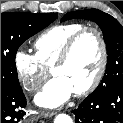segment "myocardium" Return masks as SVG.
I'll list each match as a JSON object with an SVG mask.
<instances>
[{
	"instance_id": "myocardium-1",
	"label": "myocardium",
	"mask_w": 123,
	"mask_h": 123,
	"mask_svg": "<svg viewBox=\"0 0 123 123\" xmlns=\"http://www.w3.org/2000/svg\"><path fill=\"white\" fill-rule=\"evenodd\" d=\"M88 33L95 34V36L98 39V42L100 45V62H99L97 71L95 75L93 76V78L91 79V81L84 88L74 91L75 95L77 96H85L89 94L90 92H92L99 85V83L101 82L104 76L107 62H108V51H107L106 40L103 36L102 31L93 26H85L81 30L73 34L69 38V40L66 42L60 57L58 58V60L55 62V64L52 67V73L54 74V71L57 68L65 65L69 61L72 55V52L76 44L78 43V41Z\"/></svg>"
}]
</instances>
